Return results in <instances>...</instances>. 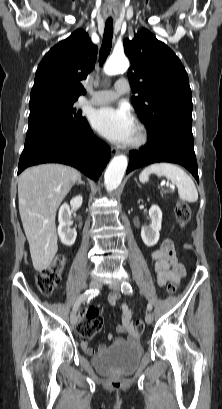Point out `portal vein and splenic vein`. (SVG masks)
I'll return each mask as SVG.
<instances>
[{"instance_id": "18ae733b", "label": "portal vein and splenic vein", "mask_w": 222, "mask_h": 409, "mask_svg": "<svg viewBox=\"0 0 222 409\" xmlns=\"http://www.w3.org/2000/svg\"><path fill=\"white\" fill-rule=\"evenodd\" d=\"M160 185L161 186L165 185V182H162ZM171 188L174 189V186H171Z\"/></svg>"}]
</instances>
